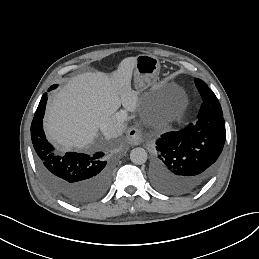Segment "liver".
<instances>
[{
	"instance_id": "obj_1",
	"label": "liver",
	"mask_w": 259,
	"mask_h": 259,
	"mask_svg": "<svg viewBox=\"0 0 259 259\" xmlns=\"http://www.w3.org/2000/svg\"><path fill=\"white\" fill-rule=\"evenodd\" d=\"M137 58L122 63L111 81L107 75L84 74L73 79L49 103L45 116L48 138L68 150L89 144L101 124L120 107L121 96L132 92Z\"/></svg>"
}]
</instances>
